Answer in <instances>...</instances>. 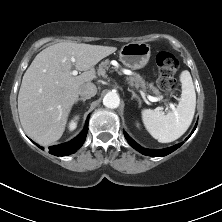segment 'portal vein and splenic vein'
<instances>
[{"label":"portal vein and splenic vein","instance_id":"18ae733b","mask_svg":"<svg viewBox=\"0 0 222 222\" xmlns=\"http://www.w3.org/2000/svg\"><path fill=\"white\" fill-rule=\"evenodd\" d=\"M71 61H72V62H75L76 60H75L74 57H72V58H71ZM77 74H78V71H77V70H73V71H72V75H73V76H76ZM148 99H149L151 102H157V101L160 100V98H158V97H153V96H150V95H148ZM171 108H172V109H175L173 105H171ZM157 109L160 110V111H163V108H162V107H158Z\"/></svg>","mask_w":222,"mask_h":222}]
</instances>
